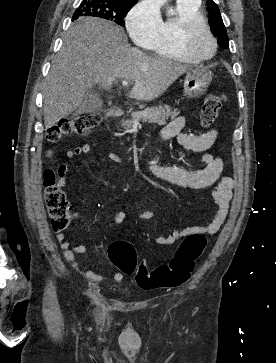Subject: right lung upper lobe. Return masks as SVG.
Returning <instances> with one entry per match:
<instances>
[{"mask_svg":"<svg viewBox=\"0 0 276 363\" xmlns=\"http://www.w3.org/2000/svg\"><path fill=\"white\" fill-rule=\"evenodd\" d=\"M115 1H123V2H129V3H136L137 0H115Z\"/></svg>","mask_w":276,"mask_h":363,"instance_id":"right-lung-upper-lobe-1","label":"right lung upper lobe"}]
</instances>
